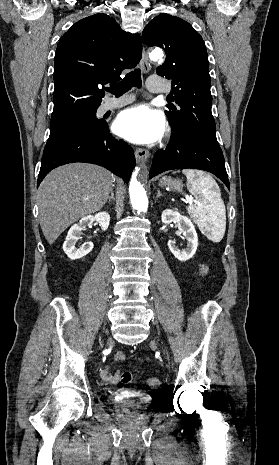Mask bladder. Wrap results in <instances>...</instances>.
Segmentation results:
<instances>
[{
    "label": "bladder",
    "mask_w": 279,
    "mask_h": 465,
    "mask_svg": "<svg viewBox=\"0 0 279 465\" xmlns=\"http://www.w3.org/2000/svg\"><path fill=\"white\" fill-rule=\"evenodd\" d=\"M153 399L144 393L120 392L116 395V403L121 410L136 412L152 404Z\"/></svg>",
    "instance_id": "obj_1"
}]
</instances>
